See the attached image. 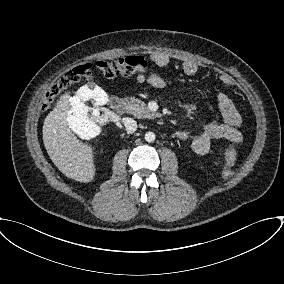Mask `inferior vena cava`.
<instances>
[{
	"instance_id": "602c4592",
	"label": "inferior vena cava",
	"mask_w": 284,
	"mask_h": 284,
	"mask_svg": "<svg viewBox=\"0 0 284 284\" xmlns=\"http://www.w3.org/2000/svg\"><path fill=\"white\" fill-rule=\"evenodd\" d=\"M123 124L129 133H132L137 129V122L132 118H123Z\"/></svg>"
}]
</instances>
